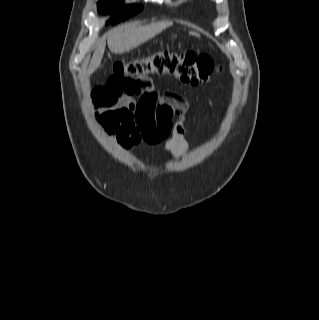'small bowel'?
Listing matches in <instances>:
<instances>
[{
	"mask_svg": "<svg viewBox=\"0 0 319 320\" xmlns=\"http://www.w3.org/2000/svg\"><path fill=\"white\" fill-rule=\"evenodd\" d=\"M135 94H139L137 101L133 98ZM91 99L96 107L98 125L118 145L128 148L132 144L122 128L128 115L152 114L160 124L171 127V137L162 151L175 160L183 158L189 145L184 124L187 103L179 94L170 90L158 92L149 79L129 87L109 84L105 88H94Z\"/></svg>",
	"mask_w": 319,
	"mask_h": 320,
	"instance_id": "small-bowel-1",
	"label": "small bowel"
}]
</instances>
